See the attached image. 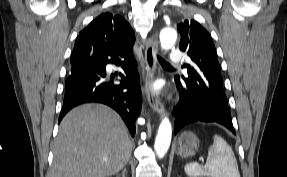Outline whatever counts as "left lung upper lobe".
Here are the masks:
<instances>
[{"instance_id":"5c2ea615","label":"left lung upper lobe","mask_w":287,"mask_h":177,"mask_svg":"<svg viewBox=\"0 0 287 177\" xmlns=\"http://www.w3.org/2000/svg\"><path fill=\"white\" fill-rule=\"evenodd\" d=\"M177 29L181 33L179 49L193 61L186 65L188 76H182L183 81L193 84L202 94L209 95L212 87L223 90L221 70L209 33L194 20L181 22Z\"/></svg>"}]
</instances>
